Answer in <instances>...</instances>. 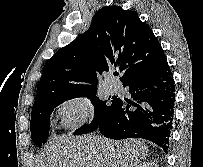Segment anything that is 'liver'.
<instances>
[{"mask_svg": "<svg viewBox=\"0 0 203 167\" xmlns=\"http://www.w3.org/2000/svg\"><path fill=\"white\" fill-rule=\"evenodd\" d=\"M147 153L148 147L138 139L60 137L41 151L35 167H136Z\"/></svg>", "mask_w": 203, "mask_h": 167, "instance_id": "6515ba94", "label": "liver"}]
</instances>
